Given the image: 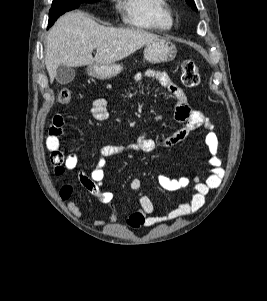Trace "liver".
I'll return each instance as SVG.
<instances>
[{
	"label": "liver",
	"instance_id": "obj_1",
	"mask_svg": "<svg viewBox=\"0 0 267 301\" xmlns=\"http://www.w3.org/2000/svg\"><path fill=\"white\" fill-rule=\"evenodd\" d=\"M158 39V35L144 30L104 27L81 11L66 13L55 22L45 41L50 82L62 64L69 67L112 64Z\"/></svg>",
	"mask_w": 267,
	"mask_h": 301
}]
</instances>
